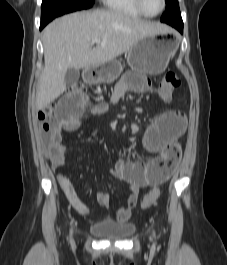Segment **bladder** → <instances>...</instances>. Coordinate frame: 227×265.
Returning a JSON list of instances; mask_svg holds the SVG:
<instances>
[{
  "mask_svg": "<svg viewBox=\"0 0 227 265\" xmlns=\"http://www.w3.org/2000/svg\"><path fill=\"white\" fill-rule=\"evenodd\" d=\"M90 232L96 237L108 240H121L134 232L131 224L95 223L90 226Z\"/></svg>",
  "mask_w": 227,
  "mask_h": 265,
  "instance_id": "obj_1",
  "label": "bladder"
}]
</instances>
